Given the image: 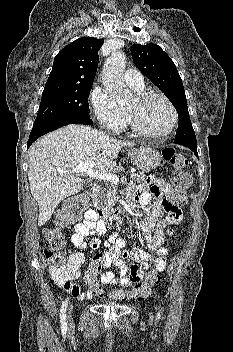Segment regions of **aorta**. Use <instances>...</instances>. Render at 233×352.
<instances>
[{
    "mask_svg": "<svg viewBox=\"0 0 233 352\" xmlns=\"http://www.w3.org/2000/svg\"><path fill=\"white\" fill-rule=\"evenodd\" d=\"M126 56L121 51H114L105 61L102 72V82L105 89L120 105H125L133 98V93L126 88L123 80V70Z\"/></svg>",
    "mask_w": 233,
    "mask_h": 352,
    "instance_id": "aorta-1",
    "label": "aorta"
}]
</instances>
